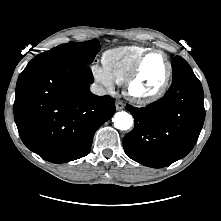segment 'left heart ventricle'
Returning <instances> with one entry per match:
<instances>
[{"label": "left heart ventricle", "mask_w": 221, "mask_h": 221, "mask_svg": "<svg viewBox=\"0 0 221 221\" xmlns=\"http://www.w3.org/2000/svg\"><path fill=\"white\" fill-rule=\"evenodd\" d=\"M167 72V63L163 55L151 54L144 61L134 90L140 94L156 91L162 84Z\"/></svg>", "instance_id": "1"}]
</instances>
